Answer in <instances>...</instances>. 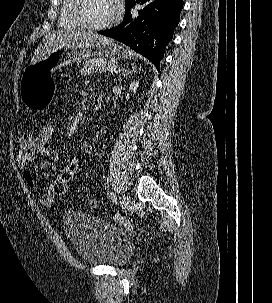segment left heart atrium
<instances>
[{
	"instance_id": "1",
	"label": "left heart atrium",
	"mask_w": 272,
	"mask_h": 303,
	"mask_svg": "<svg viewBox=\"0 0 272 303\" xmlns=\"http://www.w3.org/2000/svg\"><path fill=\"white\" fill-rule=\"evenodd\" d=\"M113 2H114V0H113ZM114 7H115V12L117 13L118 12V4L114 3Z\"/></svg>"
}]
</instances>
